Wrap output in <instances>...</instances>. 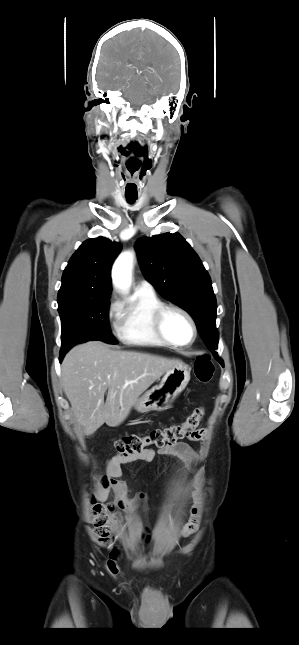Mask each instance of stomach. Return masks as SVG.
I'll use <instances>...</instances> for the list:
<instances>
[{
    "instance_id": "stomach-1",
    "label": "stomach",
    "mask_w": 299,
    "mask_h": 645,
    "mask_svg": "<svg viewBox=\"0 0 299 645\" xmlns=\"http://www.w3.org/2000/svg\"><path fill=\"white\" fill-rule=\"evenodd\" d=\"M190 380V369L179 363L166 372L160 384L145 392L134 404L136 411L147 413L163 411L170 407Z\"/></svg>"
}]
</instances>
